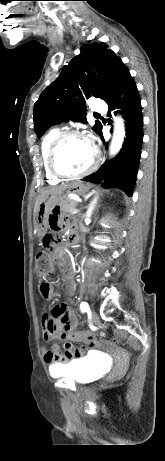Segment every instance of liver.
<instances>
[{
    "mask_svg": "<svg viewBox=\"0 0 165 461\" xmlns=\"http://www.w3.org/2000/svg\"><path fill=\"white\" fill-rule=\"evenodd\" d=\"M66 187H55V188H50V189H47V190H44L42 191L39 196L37 197V200H36V203H35V206H34V217H36V214L38 212V208H39V204H40V201L46 196V195H49V194H54V193H62V191L65 189Z\"/></svg>",
    "mask_w": 165,
    "mask_h": 461,
    "instance_id": "1",
    "label": "liver"
}]
</instances>
